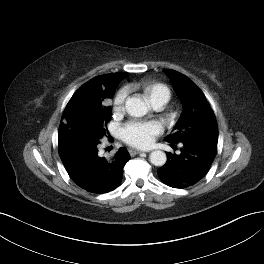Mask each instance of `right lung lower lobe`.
<instances>
[{"label": "right lung lower lobe", "mask_w": 264, "mask_h": 264, "mask_svg": "<svg viewBox=\"0 0 264 264\" xmlns=\"http://www.w3.org/2000/svg\"><path fill=\"white\" fill-rule=\"evenodd\" d=\"M99 144L100 139L88 137L58 139L59 155L71 179L88 192L103 194L120 185L130 156L122 147L114 156L102 157Z\"/></svg>", "instance_id": "1"}]
</instances>
